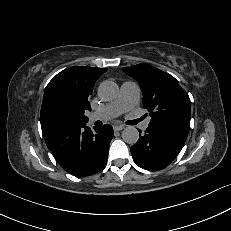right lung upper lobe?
<instances>
[{
    "label": "right lung upper lobe",
    "mask_w": 231,
    "mask_h": 231,
    "mask_svg": "<svg viewBox=\"0 0 231 231\" xmlns=\"http://www.w3.org/2000/svg\"><path fill=\"white\" fill-rule=\"evenodd\" d=\"M106 68L72 67L58 73L47 85L40 122L45 142L51 150L66 144L74 128L86 125L89 96Z\"/></svg>",
    "instance_id": "right-lung-upper-lobe-1"
}]
</instances>
